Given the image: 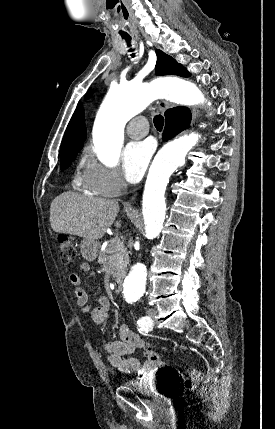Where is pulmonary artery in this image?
Listing matches in <instances>:
<instances>
[{"mask_svg":"<svg viewBox=\"0 0 275 429\" xmlns=\"http://www.w3.org/2000/svg\"><path fill=\"white\" fill-rule=\"evenodd\" d=\"M127 134L134 139H140L148 133V121L145 117L139 116L130 121L127 126Z\"/></svg>","mask_w":275,"mask_h":429,"instance_id":"pulmonary-artery-1","label":"pulmonary artery"}]
</instances>
